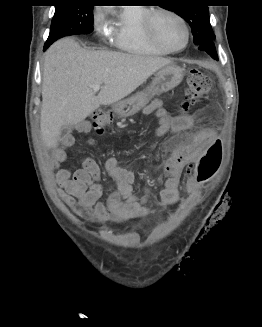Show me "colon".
<instances>
[{
    "mask_svg": "<svg viewBox=\"0 0 262 327\" xmlns=\"http://www.w3.org/2000/svg\"><path fill=\"white\" fill-rule=\"evenodd\" d=\"M211 87L210 79L198 70H192L187 79L185 105L191 106L206 98ZM113 114L108 110H98L94 113L92 126L95 132L102 134L113 124ZM222 157L220 141H215L198 160L194 170V180L197 184L208 181L218 169Z\"/></svg>",
    "mask_w": 262,
    "mask_h": 327,
    "instance_id": "1",
    "label": "colon"
}]
</instances>
